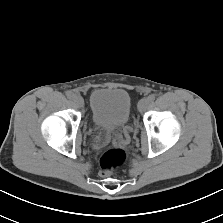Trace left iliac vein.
I'll return each mask as SVG.
<instances>
[{
  "label": "left iliac vein",
  "mask_w": 223,
  "mask_h": 223,
  "mask_svg": "<svg viewBox=\"0 0 223 223\" xmlns=\"http://www.w3.org/2000/svg\"><path fill=\"white\" fill-rule=\"evenodd\" d=\"M148 104H149L148 99H147V98H142V99L138 102V106H137L138 111L141 112V113L144 112V111L146 110Z\"/></svg>",
  "instance_id": "4c4485c4"
}]
</instances>
